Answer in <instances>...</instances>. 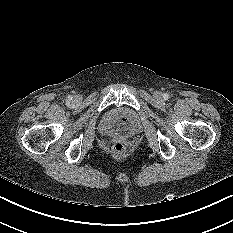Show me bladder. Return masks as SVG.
Listing matches in <instances>:
<instances>
[{"label":"bladder","mask_w":233,"mask_h":233,"mask_svg":"<svg viewBox=\"0 0 233 233\" xmlns=\"http://www.w3.org/2000/svg\"><path fill=\"white\" fill-rule=\"evenodd\" d=\"M140 129L137 113L127 107H115L106 111L99 122L100 132L108 137H132Z\"/></svg>","instance_id":"1"}]
</instances>
